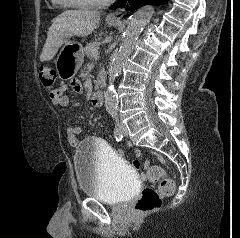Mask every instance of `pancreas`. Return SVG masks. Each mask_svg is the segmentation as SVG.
Returning a JSON list of instances; mask_svg holds the SVG:
<instances>
[{
  "mask_svg": "<svg viewBox=\"0 0 240 238\" xmlns=\"http://www.w3.org/2000/svg\"><path fill=\"white\" fill-rule=\"evenodd\" d=\"M94 51H98V45H97L96 42L88 43V44L85 46V48H84V52H85V54L87 55V57L93 58L92 53H93ZM103 73H104V70H101V71L99 72V74H98V80L96 81L97 84H96V86H95V89H97V88L99 87V85H100V84H99V78H101V76H102Z\"/></svg>",
  "mask_w": 240,
  "mask_h": 238,
  "instance_id": "pancreas-1",
  "label": "pancreas"
}]
</instances>
